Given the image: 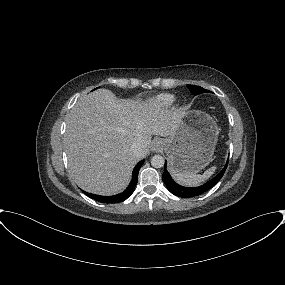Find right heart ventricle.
Returning <instances> with one entry per match:
<instances>
[{
    "instance_id": "1",
    "label": "right heart ventricle",
    "mask_w": 285,
    "mask_h": 285,
    "mask_svg": "<svg viewBox=\"0 0 285 285\" xmlns=\"http://www.w3.org/2000/svg\"><path fill=\"white\" fill-rule=\"evenodd\" d=\"M156 107L160 109H166L171 107L175 102V97L171 94H161L155 99Z\"/></svg>"
}]
</instances>
